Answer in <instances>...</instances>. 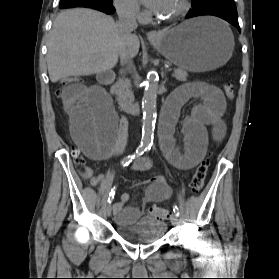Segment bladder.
Returning a JSON list of instances; mask_svg holds the SVG:
<instances>
[{
	"mask_svg": "<svg viewBox=\"0 0 279 279\" xmlns=\"http://www.w3.org/2000/svg\"><path fill=\"white\" fill-rule=\"evenodd\" d=\"M116 234L132 244H149L160 240L167 231L165 221L142 217L132 225L117 224Z\"/></svg>",
	"mask_w": 279,
	"mask_h": 279,
	"instance_id": "bladder-1",
	"label": "bladder"
}]
</instances>
